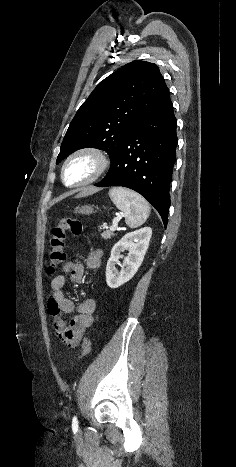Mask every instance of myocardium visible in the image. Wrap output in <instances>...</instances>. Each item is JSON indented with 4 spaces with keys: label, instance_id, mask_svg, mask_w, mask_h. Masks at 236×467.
<instances>
[{
    "label": "myocardium",
    "instance_id": "obj_1",
    "mask_svg": "<svg viewBox=\"0 0 236 467\" xmlns=\"http://www.w3.org/2000/svg\"><path fill=\"white\" fill-rule=\"evenodd\" d=\"M81 155H90L96 160V162H97L96 171L94 172V174L90 178H88V179H86V180H84L82 182H78V183H74V184H68V183H66L65 178H64L66 167H67V165L69 164L70 161H72L74 158H76L78 156H81ZM110 162H111V160H110V157H109L108 153L105 150H103V149H101L99 147L85 146V147L79 148L76 151H74L73 153H71L66 158V160L64 161V163L62 165V168H61L62 182L67 187H81V186L91 184V183L95 182L97 179H99L108 170V168L110 166Z\"/></svg>",
    "mask_w": 236,
    "mask_h": 467
}]
</instances>
